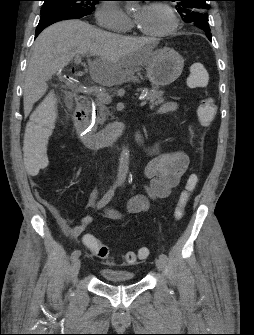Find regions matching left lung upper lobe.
I'll use <instances>...</instances> for the list:
<instances>
[{
    "mask_svg": "<svg viewBox=\"0 0 254 335\" xmlns=\"http://www.w3.org/2000/svg\"><path fill=\"white\" fill-rule=\"evenodd\" d=\"M177 2V11L185 22H191L196 28L204 31L207 37H211L208 24L209 8L207 0H171Z\"/></svg>",
    "mask_w": 254,
    "mask_h": 335,
    "instance_id": "1",
    "label": "left lung upper lobe"
}]
</instances>
